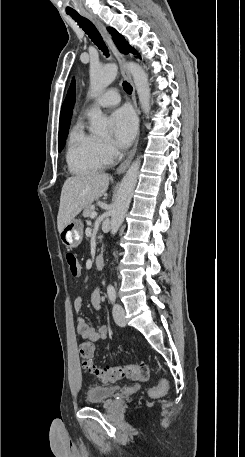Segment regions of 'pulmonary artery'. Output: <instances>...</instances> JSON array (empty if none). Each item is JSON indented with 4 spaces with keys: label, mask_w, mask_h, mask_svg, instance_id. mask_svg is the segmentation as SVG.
<instances>
[{
    "label": "pulmonary artery",
    "mask_w": 245,
    "mask_h": 457,
    "mask_svg": "<svg viewBox=\"0 0 245 457\" xmlns=\"http://www.w3.org/2000/svg\"><path fill=\"white\" fill-rule=\"evenodd\" d=\"M120 102L117 91H107L105 95L95 99L94 103H99L100 107L116 105Z\"/></svg>",
    "instance_id": "1"
}]
</instances>
